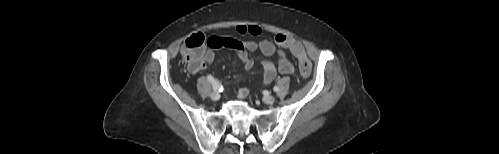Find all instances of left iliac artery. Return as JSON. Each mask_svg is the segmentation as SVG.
Listing matches in <instances>:
<instances>
[{"mask_svg":"<svg viewBox=\"0 0 499 154\" xmlns=\"http://www.w3.org/2000/svg\"><path fill=\"white\" fill-rule=\"evenodd\" d=\"M273 90H274L275 92H278V91H279V87H278V86H275V87L273 88Z\"/></svg>","mask_w":499,"mask_h":154,"instance_id":"left-iliac-artery-1","label":"left iliac artery"}]
</instances>
